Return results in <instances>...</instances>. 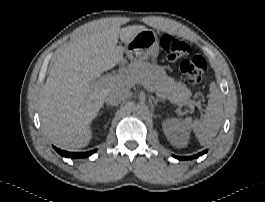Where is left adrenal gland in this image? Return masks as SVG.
I'll list each match as a JSON object with an SVG mask.
<instances>
[{
    "label": "left adrenal gland",
    "instance_id": "a2214340",
    "mask_svg": "<svg viewBox=\"0 0 265 202\" xmlns=\"http://www.w3.org/2000/svg\"><path fill=\"white\" fill-rule=\"evenodd\" d=\"M160 101H161V100H158V99H154V98H153V102H154L155 105H157L158 102H160Z\"/></svg>",
    "mask_w": 265,
    "mask_h": 202
}]
</instances>
